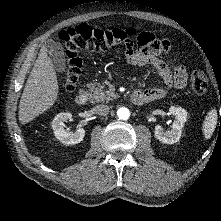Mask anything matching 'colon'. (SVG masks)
Instances as JSON below:
<instances>
[{"mask_svg": "<svg viewBox=\"0 0 221 221\" xmlns=\"http://www.w3.org/2000/svg\"><path fill=\"white\" fill-rule=\"evenodd\" d=\"M135 36L133 29H99L82 24L67 29L60 34L67 59L65 89L75 90L82 62L78 54L81 51H104L114 47H127ZM208 78L203 70L195 69L191 74V88L198 95L208 91Z\"/></svg>", "mask_w": 221, "mask_h": 221, "instance_id": "1", "label": "colon"}]
</instances>
